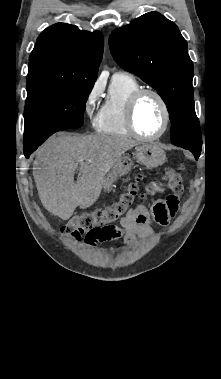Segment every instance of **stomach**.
<instances>
[{
    "label": "stomach",
    "instance_id": "0dacf381",
    "mask_svg": "<svg viewBox=\"0 0 221 379\" xmlns=\"http://www.w3.org/2000/svg\"><path fill=\"white\" fill-rule=\"evenodd\" d=\"M134 158L142 165L149 168L161 166L166 160L164 150L155 143H144L135 149ZM133 166V161L128 155H123L117 161L115 166L104 179L103 188L109 191L114 183L120 178L129 173Z\"/></svg>",
    "mask_w": 221,
    "mask_h": 379
}]
</instances>
